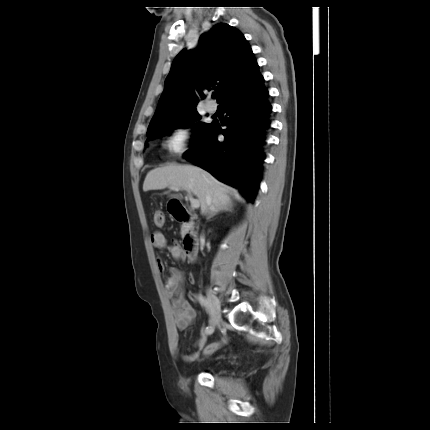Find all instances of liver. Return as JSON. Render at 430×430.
<instances>
[{"label":"liver","instance_id":"1","mask_svg":"<svg viewBox=\"0 0 430 430\" xmlns=\"http://www.w3.org/2000/svg\"><path fill=\"white\" fill-rule=\"evenodd\" d=\"M173 187L192 192L201 206L202 214L231 206L228 188L213 175L191 165H167L148 172L143 183V191ZM210 203H207V196Z\"/></svg>","mask_w":430,"mask_h":430}]
</instances>
